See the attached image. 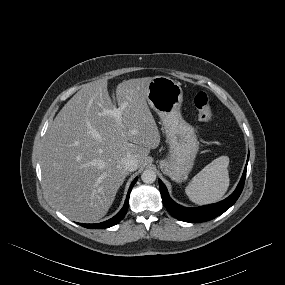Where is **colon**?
Segmentation results:
<instances>
[{"label": "colon", "mask_w": 285, "mask_h": 285, "mask_svg": "<svg viewBox=\"0 0 285 285\" xmlns=\"http://www.w3.org/2000/svg\"><path fill=\"white\" fill-rule=\"evenodd\" d=\"M194 106L197 111V117L202 123H210L214 119V110L212 102L205 92L199 91L194 97Z\"/></svg>", "instance_id": "colon-1"}]
</instances>
